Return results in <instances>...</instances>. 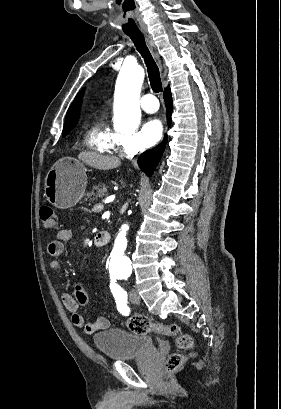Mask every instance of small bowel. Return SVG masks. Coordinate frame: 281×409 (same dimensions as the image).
I'll return each mask as SVG.
<instances>
[{
    "instance_id": "obj_1",
    "label": "small bowel",
    "mask_w": 281,
    "mask_h": 409,
    "mask_svg": "<svg viewBox=\"0 0 281 409\" xmlns=\"http://www.w3.org/2000/svg\"><path fill=\"white\" fill-rule=\"evenodd\" d=\"M72 237L70 229H61L54 240L48 245V252L53 257H58L63 254L65 250V243ZM50 268L57 272H62V264L58 259H53L50 262ZM62 301L66 309L71 314V322L74 326L80 328L84 334H93L98 331L106 330L110 327V321L105 317H99L95 321L85 319L80 313V306H87L89 304V295L81 287H77L76 294L69 292L62 294Z\"/></svg>"
}]
</instances>
